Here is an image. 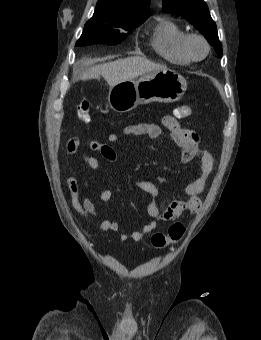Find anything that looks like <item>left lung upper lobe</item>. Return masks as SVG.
<instances>
[{
  "mask_svg": "<svg viewBox=\"0 0 261 340\" xmlns=\"http://www.w3.org/2000/svg\"><path fill=\"white\" fill-rule=\"evenodd\" d=\"M162 6L166 12L187 19L204 35L218 56H222V44L218 38L216 24L203 0H163Z\"/></svg>",
  "mask_w": 261,
  "mask_h": 340,
  "instance_id": "obj_1",
  "label": "left lung upper lobe"
}]
</instances>
